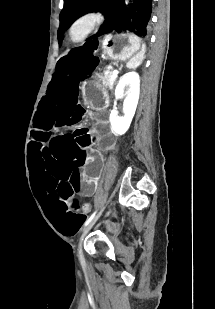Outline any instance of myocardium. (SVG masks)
Here are the masks:
<instances>
[{
  "label": "myocardium",
  "mask_w": 215,
  "mask_h": 309,
  "mask_svg": "<svg viewBox=\"0 0 215 309\" xmlns=\"http://www.w3.org/2000/svg\"><path fill=\"white\" fill-rule=\"evenodd\" d=\"M97 17L87 15L78 19L69 29V39L72 43H82L97 24Z\"/></svg>",
  "instance_id": "1"
}]
</instances>
